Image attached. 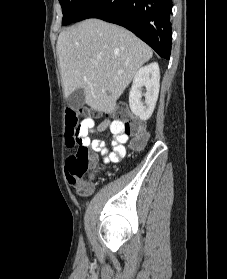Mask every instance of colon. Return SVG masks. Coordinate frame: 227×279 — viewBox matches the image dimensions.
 <instances>
[{
  "label": "colon",
  "instance_id": "colon-1",
  "mask_svg": "<svg viewBox=\"0 0 227 279\" xmlns=\"http://www.w3.org/2000/svg\"><path fill=\"white\" fill-rule=\"evenodd\" d=\"M78 110L69 109L66 115L65 136L69 144L77 143V150L66 160V170L71 179L75 180L74 187L80 194H86L93 188V183L85 178L87 171L95 165L96 157L89 150L88 121L80 120ZM117 122H119L126 133L134 135L130 147L134 150L141 149L147 139L148 133L143 128L139 119H129L128 108L120 104L117 107Z\"/></svg>",
  "mask_w": 227,
  "mask_h": 279
}]
</instances>
